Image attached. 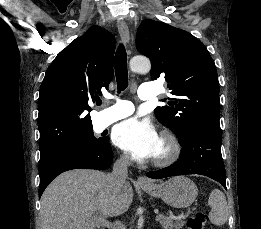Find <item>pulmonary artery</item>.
<instances>
[{"label": "pulmonary artery", "mask_w": 261, "mask_h": 229, "mask_svg": "<svg viewBox=\"0 0 261 229\" xmlns=\"http://www.w3.org/2000/svg\"><path fill=\"white\" fill-rule=\"evenodd\" d=\"M154 89H157V84L141 85L137 94L142 100H148L155 96ZM133 112V106L127 101L117 100L116 104L102 111L106 123H113L126 118Z\"/></svg>", "instance_id": "obj_1"}]
</instances>
